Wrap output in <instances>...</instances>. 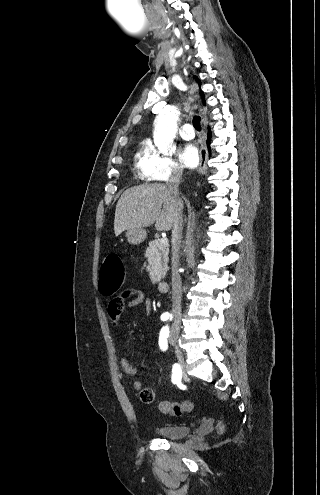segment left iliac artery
<instances>
[{
    "mask_svg": "<svg viewBox=\"0 0 320 495\" xmlns=\"http://www.w3.org/2000/svg\"><path fill=\"white\" fill-rule=\"evenodd\" d=\"M168 336H169V328L167 326H165L161 329L160 336H159V347L163 351H165L167 349Z\"/></svg>",
    "mask_w": 320,
    "mask_h": 495,
    "instance_id": "obj_1",
    "label": "left iliac artery"
}]
</instances>
